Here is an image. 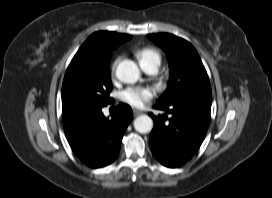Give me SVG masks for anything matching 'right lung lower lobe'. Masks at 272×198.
I'll use <instances>...</instances> for the list:
<instances>
[{
    "mask_svg": "<svg viewBox=\"0 0 272 198\" xmlns=\"http://www.w3.org/2000/svg\"><path fill=\"white\" fill-rule=\"evenodd\" d=\"M106 106V105H105ZM100 107H82L63 114L67 140L75 155L90 167H104L118 156L122 137L133 112L120 103L107 119Z\"/></svg>",
    "mask_w": 272,
    "mask_h": 198,
    "instance_id": "98d812e1",
    "label": "right lung lower lobe"
}]
</instances>
